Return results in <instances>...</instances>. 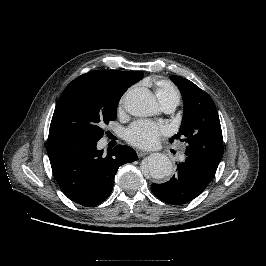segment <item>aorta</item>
Wrapping results in <instances>:
<instances>
[{
  "mask_svg": "<svg viewBox=\"0 0 266 266\" xmlns=\"http://www.w3.org/2000/svg\"><path fill=\"white\" fill-rule=\"evenodd\" d=\"M124 108L130 115L136 117L151 116L157 111V100L148 90L133 89L125 95ZM172 169L170 159L162 153L149 155L142 166V171L154 179L171 175Z\"/></svg>",
  "mask_w": 266,
  "mask_h": 266,
  "instance_id": "762f6f07",
  "label": "aorta"
}]
</instances>
